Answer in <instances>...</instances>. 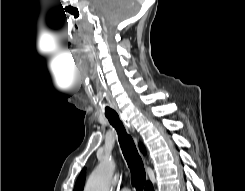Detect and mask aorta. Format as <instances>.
<instances>
[{
  "instance_id": "1",
  "label": "aorta",
  "mask_w": 245,
  "mask_h": 191,
  "mask_svg": "<svg viewBox=\"0 0 245 191\" xmlns=\"http://www.w3.org/2000/svg\"><path fill=\"white\" fill-rule=\"evenodd\" d=\"M115 163L105 158L89 176L84 191H109Z\"/></svg>"
}]
</instances>
